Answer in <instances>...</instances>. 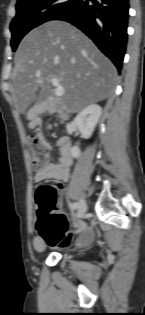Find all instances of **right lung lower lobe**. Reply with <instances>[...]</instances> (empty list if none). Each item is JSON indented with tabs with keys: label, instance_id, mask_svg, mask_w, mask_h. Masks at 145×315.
Segmentation results:
<instances>
[{
	"label": "right lung lower lobe",
	"instance_id": "1",
	"mask_svg": "<svg viewBox=\"0 0 145 315\" xmlns=\"http://www.w3.org/2000/svg\"><path fill=\"white\" fill-rule=\"evenodd\" d=\"M128 11L129 0H74L54 20L70 22L82 30L120 71L127 44Z\"/></svg>",
	"mask_w": 145,
	"mask_h": 315
}]
</instances>
